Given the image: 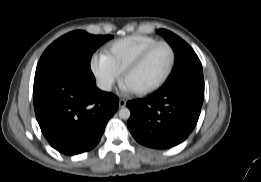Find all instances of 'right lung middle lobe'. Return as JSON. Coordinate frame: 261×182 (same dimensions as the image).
Wrapping results in <instances>:
<instances>
[{
    "instance_id": "dd1d6c3e",
    "label": "right lung middle lobe",
    "mask_w": 261,
    "mask_h": 182,
    "mask_svg": "<svg viewBox=\"0 0 261 182\" xmlns=\"http://www.w3.org/2000/svg\"><path fill=\"white\" fill-rule=\"evenodd\" d=\"M111 35H90L77 30L63 35L53 42L42 54L35 77L50 71L68 68L77 74L87 84H95V78L90 69V60L95 50Z\"/></svg>"
}]
</instances>
